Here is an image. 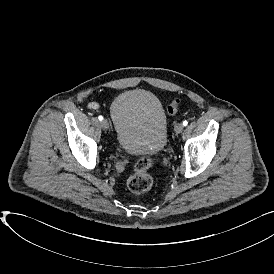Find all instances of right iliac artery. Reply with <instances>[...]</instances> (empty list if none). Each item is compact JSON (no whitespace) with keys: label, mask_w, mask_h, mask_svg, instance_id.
<instances>
[{"label":"right iliac artery","mask_w":274,"mask_h":274,"mask_svg":"<svg viewBox=\"0 0 274 274\" xmlns=\"http://www.w3.org/2000/svg\"><path fill=\"white\" fill-rule=\"evenodd\" d=\"M98 119H99L100 121H102V120H103V116H99Z\"/></svg>","instance_id":"1"}]
</instances>
